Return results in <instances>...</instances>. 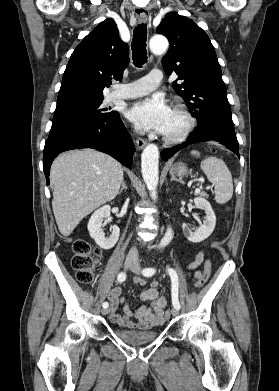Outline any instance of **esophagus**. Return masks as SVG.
<instances>
[{"mask_svg": "<svg viewBox=\"0 0 279 391\" xmlns=\"http://www.w3.org/2000/svg\"><path fill=\"white\" fill-rule=\"evenodd\" d=\"M137 16H138L139 21H141V22H145L148 17L147 13H145V12L139 13V14H137ZM136 144L139 149H142L147 144V141L142 138H138L136 141Z\"/></svg>", "mask_w": 279, "mask_h": 391, "instance_id": "esophagus-1", "label": "esophagus"}]
</instances>
